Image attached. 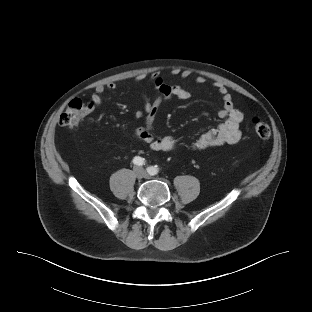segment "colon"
<instances>
[{
    "mask_svg": "<svg viewBox=\"0 0 312 312\" xmlns=\"http://www.w3.org/2000/svg\"><path fill=\"white\" fill-rule=\"evenodd\" d=\"M88 113V106L79 99L72 100L66 110L62 113L59 119V123L61 126L66 127L68 129H76L85 116ZM252 125L255 131V134L261 139H268L271 135V130L269 124L255 117L252 119Z\"/></svg>",
    "mask_w": 312,
    "mask_h": 312,
    "instance_id": "5ec220e1",
    "label": "colon"
}]
</instances>
